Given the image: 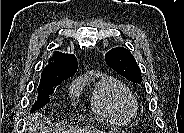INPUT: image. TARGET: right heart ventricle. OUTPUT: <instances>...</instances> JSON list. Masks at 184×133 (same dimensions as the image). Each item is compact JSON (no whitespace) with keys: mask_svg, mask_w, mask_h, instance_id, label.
Returning <instances> with one entry per match:
<instances>
[{"mask_svg":"<svg viewBox=\"0 0 184 133\" xmlns=\"http://www.w3.org/2000/svg\"><path fill=\"white\" fill-rule=\"evenodd\" d=\"M91 105L100 117L114 123L127 122L136 111L130 90L119 80L109 76H102L96 82Z\"/></svg>","mask_w":184,"mask_h":133,"instance_id":"e07e8e85","label":"right heart ventricle"}]
</instances>
